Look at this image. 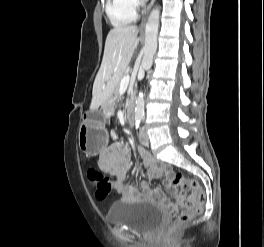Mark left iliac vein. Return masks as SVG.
I'll return each mask as SVG.
<instances>
[{"instance_id": "left-iliac-vein-1", "label": "left iliac vein", "mask_w": 264, "mask_h": 247, "mask_svg": "<svg viewBox=\"0 0 264 247\" xmlns=\"http://www.w3.org/2000/svg\"><path fill=\"white\" fill-rule=\"evenodd\" d=\"M139 140H140L142 145H144V146H148L149 145V138H148V135H147L146 130L144 128H142L140 130Z\"/></svg>"}]
</instances>
